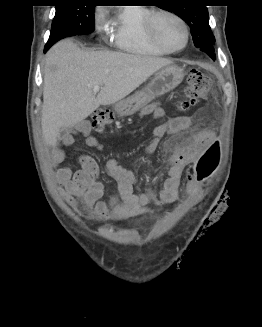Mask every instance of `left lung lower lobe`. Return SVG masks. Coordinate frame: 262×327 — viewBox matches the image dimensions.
Instances as JSON below:
<instances>
[{"label": "left lung lower lobe", "instance_id": "obj_1", "mask_svg": "<svg viewBox=\"0 0 262 327\" xmlns=\"http://www.w3.org/2000/svg\"><path fill=\"white\" fill-rule=\"evenodd\" d=\"M199 49L207 53L213 60H215L214 45H206Z\"/></svg>", "mask_w": 262, "mask_h": 327}]
</instances>
